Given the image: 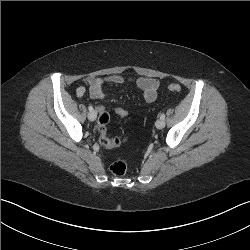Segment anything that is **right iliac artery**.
<instances>
[{"instance_id": "82829eb1", "label": "right iliac artery", "mask_w": 250, "mask_h": 250, "mask_svg": "<svg viewBox=\"0 0 250 250\" xmlns=\"http://www.w3.org/2000/svg\"><path fill=\"white\" fill-rule=\"evenodd\" d=\"M88 109H89L90 111H92V110H93V107L90 105V106L88 107Z\"/></svg>"}]
</instances>
